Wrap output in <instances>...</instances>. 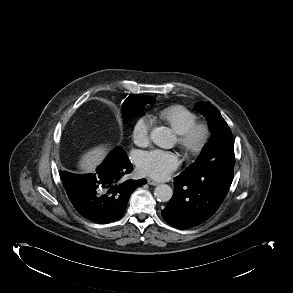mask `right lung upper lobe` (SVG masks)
Instances as JSON below:
<instances>
[{"mask_svg": "<svg viewBox=\"0 0 293 293\" xmlns=\"http://www.w3.org/2000/svg\"><path fill=\"white\" fill-rule=\"evenodd\" d=\"M138 97H136L138 100L144 102V103H151L154 101V97H151V96H146V95H136ZM132 97H128L127 99H125L123 105H122V108L125 107L127 104H129L130 102H132Z\"/></svg>", "mask_w": 293, "mask_h": 293, "instance_id": "obj_1", "label": "right lung upper lobe"}]
</instances>
